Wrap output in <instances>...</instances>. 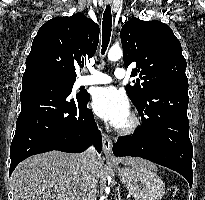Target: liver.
Segmentation results:
<instances>
[{"mask_svg": "<svg viewBox=\"0 0 205 200\" xmlns=\"http://www.w3.org/2000/svg\"><path fill=\"white\" fill-rule=\"evenodd\" d=\"M125 165L154 164L138 157H122ZM102 161L96 158L95 174L101 176ZM81 154L50 151L21 162L11 175L14 200H81Z\"/></svg>", "mask_w": 205, "mask_h": 200, "instance_id": "1", "label": "liver"}]
</instances>
